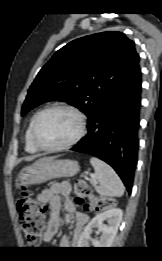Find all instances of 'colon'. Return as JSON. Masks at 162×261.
I'll list each match as a JSON object with an SVG mask.
<instances>
[{
    "label": "colon",
    "mask_w": 162,
    "mask_h": 261,
    "mask_svg": "<svg viewBox=\"0 0 162 261\" xmlns=\"http://www.w3.org/2000/svg\"><path fill=\"white\" fill-rule=\"evenodd\" d=\"M74 201L88 212L105 210L114 204L108 197L94 196L92 187L84 180L75 183ZM17 211L26 241L29 244H38L44 230L43 206L32 197L27 189H23L17 201Z\"/></svg>",
    "instance_id": "1"
}]
</instances>
